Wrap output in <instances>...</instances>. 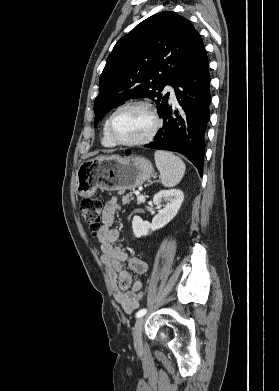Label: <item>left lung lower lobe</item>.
Here are the masks:
<instances>
[{"label":"left lung lower lobe","mask_w":279,"mask_h":391,"mask_svg":"<svg viewBox=\"0 0 279 391\" xmlns=\"http://www.w3.org/2000/svg\"><path fill=\"white\" fill-rule=\"evenodd\" d=\"M180 110L168 105L160 115L164 124L146 147L179 152L203 173L205 133L210 118L209 62L203 48L195 63L174 87Z\"/></svg>","instance_id":"left-lung-lower-lobe-1"}]
</instances>
